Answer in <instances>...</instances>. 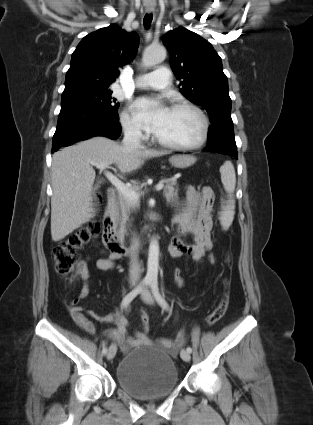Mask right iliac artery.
<instances>
[{
  "instance_id": "82829eb1",
  "label": "right iliac artery",
  "mask_w": 313,
  "mask_h": 425,
  "mask_svg": "<svg viewBox=\"0 0 313 425\" xmlns=\"http://www.w3.org/2000/svg\"><path fill=\"white\" fill-rule=\"evenodd\" d=\"M151 280L148 278L143 279V281L141 282V284L135 288L134 290H132L131 292H129L122 300L121 303V309L126 308L130 302L142 291V289L148 285H150ZM107 353V347L104 346L102 349V354L105 355Z\"/></svg>"
}]
</instances>
